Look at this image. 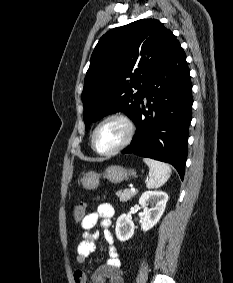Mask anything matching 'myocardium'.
Listing matches in <instances>:
<instances>
[{
    "instance_id": "myocardium-1",
    "label": "myocardium",
    "mask_w": 233,
    "mask_h": 283,
    "mask_svg": "<svg viewBox=\"0 0 233 283\" xmlns=\"http://www.w3.org/2000/svg\"><path fill=\"white\" fill-rule=\"evenodd\" d=\"M112 120L121 121L125 125V128H126L125 137L123 141L114 149L107 151V152L99 151L95 145V137H96L97 131L100 129V127L103 124H105L106 122L112 121ZM135 132H136V125L133 119L128 114L123 113V112H115V113L109 114L106 117H104L93 129V132L91 135V147L99 155H102V156L115 155L123 151L126 147L130 145V143L132 142L135 136Z\"/></svg>"
}]
</instances>
